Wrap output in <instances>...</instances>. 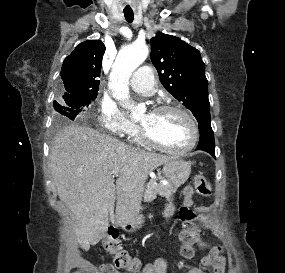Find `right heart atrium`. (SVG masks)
Wrapping results in <instances>:
<instances>
[{
	"instance_id": "obj_1",
	"label": "right heart atrium",
	"mask_w": 285,
	"mask_h": 273,
	"mask_svg": "<svg viewBox=\"0 0 285 273\" xmlns=\"http://www.w3.org/2000/svg\"><path fill=\"white\" fill-rule=\"evenodd\" d=\"M98 119L102 128L118 136H131L137 132L135 124L130 122L117 107L106 100L101 101Z\"/></svg>"
}]
</instances>
